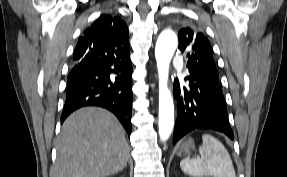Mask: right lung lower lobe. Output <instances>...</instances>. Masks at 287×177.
I'll use <instances>...</instances> for the list:
<instances>
[{"label": "right lung lower lobe", "mask_w": 287, "mask_h": 177, "mask_svg": "<svg viewBox=\"0 0 287 177\" xmlns=\"http://www.w3.org/2000/svg\"><path fill=\"white\" fill-rule=\"evenodd\" d=\"M131 75L129 38L90 43L86 56L74 62L68 75L61 122L81 107L99 106L113 112L130 136Z\"/></svg>", "instance_id": "98d812e1"}]
</instances>
